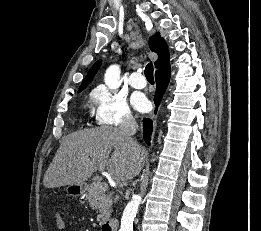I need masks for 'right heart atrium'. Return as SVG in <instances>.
<instances>
[{"label":"right heart atrium","instance_id":"right-heart-atrium-1","mask_svg":"<svg viewBox=\"0 0 261 231\" xmlns=\"http://www.w3.org/2000/svg\"><path fill=\"white\" fill-rule=\"evenodd\" d=\"M95 121L103 126L124 128L134 123L132 111L126 98L105 86H98L91 92Z\"/></svg>","mask_w":261,"mask_h":231}]
</instances>
